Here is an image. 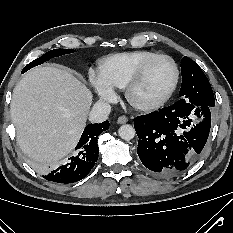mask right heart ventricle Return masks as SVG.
I'll return each mask as SVG.
<instances>
[{
    "label": "right heart ventricle",
    "mask_w": 233,
    "mask_h": 233,
    "mask_svg": "<svg viewBox=\"0 0 233 233\" xmlns=\"http://www.w3.org/2000/svg\"><path fill=\"white\" fill-rule=\"evenodd\" d=\"M157 53L148 50H136L110 55L103 59L100 73L104 81L112 88L122 89L134 70L145 60Z\"/></svg>",
    "instance_id": "right-heart-ventricle-1"
}]
</instances>
